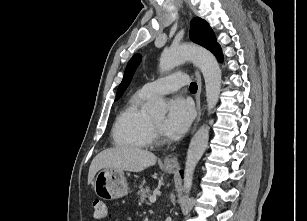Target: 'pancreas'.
Returning <instances> with one entry per match:
<instances>
[{"instance_id":"pancreas-1","label":"pancreas","mask_w":307,"mask_h":221,"mask_svg":"<svg viewBox=\"0 0 307 221\" xmlns=\"http://www.w3.org/2000/svg\"><path fill=\"white\" fill-rule=\"evenodd\" d=\"M151 193V190L149 187L141 188V190L138 192L139 198L141 202H144L146 200V197Z\"/></svg>"}]
</instances>
